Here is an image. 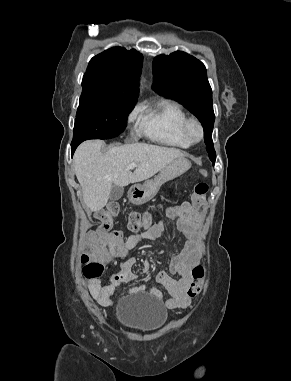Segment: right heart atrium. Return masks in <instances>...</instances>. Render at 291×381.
Returning a JSON list of instances; mask_svg holds the SVG:
<instances>
[{
    "instance_id": "1",
    "label": "right heart atrium",
    "mask_w": 291,
    "mask_h": 381,
    "mask_svg": "<svg viewBox=\"0 0 291 381\" xmlns=\"http://www.w3.org/2000/svg\"><path fill=\"white\" fill-rule=\"evenodd\" d=\"M137 116V111L136 109L132 110L129 114H128V117H127V123L128 124H131L135 118Z\"/></svg>"
}]
</instances>
